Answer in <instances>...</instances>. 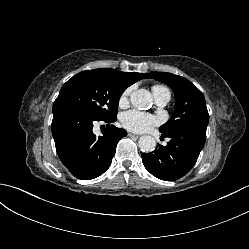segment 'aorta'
<instances>
[{
	"label": "aorta",
	"instance_id": "1",
	"mask_svg": "<svg viewBox=\"0 0 249 249\" xmlns=\"http://www.w3.org/2000/svg\"><path fill=\"white\" fill-rule=\"evenodd\" d=\"M131 104L139 109H145L152 105V95L145 89L135 90L130 95ZM139 148L142 152H151L156 147V141L152 136L144 135L139 139Z\"/></svg>",
	"mask_w": 249,
	"mask_h": 249
}]
</instances>
